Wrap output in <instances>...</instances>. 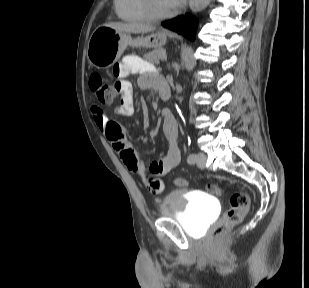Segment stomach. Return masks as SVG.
Masks as SVG:
<instances>
[{
    "label": "stomach",
    "mask_w": 309,
    "mask_h": 288,
    "mask_svg": "<svg viewBox=\"0 0 309 288\" xmlns=\"http://www.w3.org/2000/svg\"><path fill=\"white\" fill-rule=\"evenodd\" d=\"M166 41L167 36L162 32L132 38L126 32L102 25L89 38L87 58L93 66L105 69L119 60L127 46L159 48Z\"/></svg>",
    "instance_id": "0dacf381"
}]
</instances>
